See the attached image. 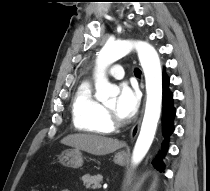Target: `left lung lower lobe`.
Returning <instances> with one entry per match:
<instances>
[{"label":"left lung lower lobe","mask_w":210,"mask_h":191,"mask_svg":"<svg viewBox=\"0 0 210 191\" xmlns=\"http://www.w3.org/2000/svg\"><path fill=\"white\" fill-rule=\"evenodd\" d=\"M170 78L163 72V136L164 140L161 146V154L164 157L168 150L169 136L174 131V117L176 110L173 106V93L169 89ZM154 167L162 172L163 171V162L162 157L159 154L154 161L152 162Z\"/></svg>","instance_id":"1"}]
</instances>
